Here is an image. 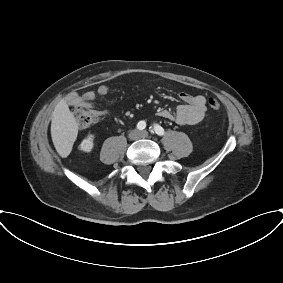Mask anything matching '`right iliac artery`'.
<instances>
[{
    "label": "right iliac artery",
    "instance_id": "obj_1",
    "mask_svg": "<svg viewBox=\"0 0 283 283\" xmlns=\"http://www.w3.org/2000/svg\"><path fill=\"white\" fill-rule=\"evenodd\" d=\"M137 128H138L139 130L145 129V128H146V122H145V121H140V122H138Z\"/></svg>",
    "mask_w": 283,
    "mask_h": 283
}]
</instances>
